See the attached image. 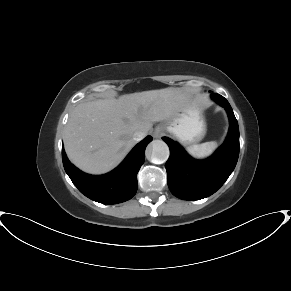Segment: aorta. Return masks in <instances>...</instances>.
<instances>
[{"label":"aorta","instance_id":"aorta-1","mask_svg":"<svg viewBox=\"0 0 291 291\" xmlns=\"http://www.w3.org/2000/svg\"><path fill=\"white\" fill-rule=\"evenodd\" d=\"M150 159L155 164H162L167 161L170 151L168 145L162 140H154L148 147Z\"/></svg>","mask_w":291,"mask_h":291}]
</instances>
